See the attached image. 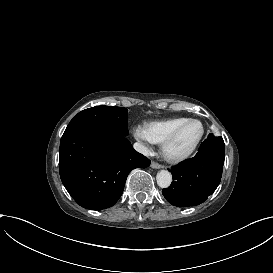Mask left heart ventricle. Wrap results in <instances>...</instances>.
<instances>
[{
  "label": "left heart ventricle",
  "mask_w": 273,
  "mask_h": 273,
  "mask_svg": "<svg viewBox=\"0 0 273 273\" xmlns=\"http://www.w3.org/2000/svg\"><path fill=\"white\" fill-rule=\"evenodd\" d=\"M203 127L198 121L187 124L181 131L178 139L172 147L175 153H184L188 151L202 134Z\"/></svg>",
  "instance_id": "1"
}]
</instances>
